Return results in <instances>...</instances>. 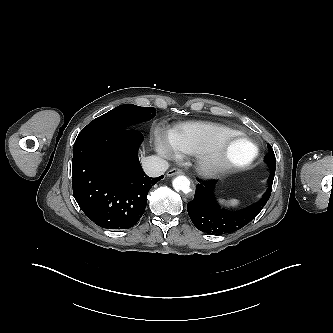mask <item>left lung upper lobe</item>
Wrapping results in <instances>:
<instances>
[{
  "instance_id": "obj_1",
  "label": "left lung upper lobe",
  "mask_w": 333,
  "mask_h": 333,
  "mask_svg": "<svg viewBox=\"0 0 333 333\" xmlns=\"http://www.w3.org/2000/svg\"><path fill=\"white\" fill-rule=\"evenodd\" d=\"M269 152L265 156V161L268 164L269 168L272 169L273 167H276V159L274 151L270 144L267 145Z\"/></svg>"
}]
</instances>
